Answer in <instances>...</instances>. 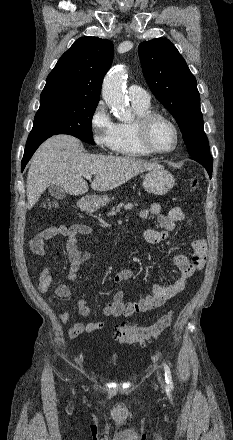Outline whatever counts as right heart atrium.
<instances>
[{
	"mask_svg": "<svg viewBox=\"0 0 233 440\" xmlns=\"http://www.w3.org/2000/svg\"><path fill=\"white\" fill-rule=\"evenodd\" d=\"M89 124L96 146L103 151L114 150L116 123L103 101H99L94 107Z\"/></svg>",
	"mask_w": 233,
	"mask_h": 440,
	"instance_id": "d8ad5b80",
	"label": "right heart atrium"
}]
</instances>
